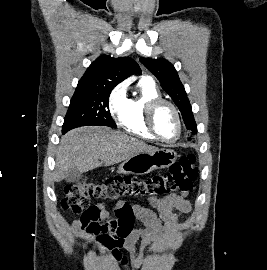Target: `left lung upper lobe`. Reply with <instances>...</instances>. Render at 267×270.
Returning <instances> with one entry per match:
<instances>
[{"instance_id":"left-lung-upper-lobe-1","label":"left lung upper lobe","mask_w":267,"mask_h":270,"mask_svg":"<svg viewBox=\"0 0 267 270\" xmlns=\"http://www.w3.org/2000/svg\"><path fill=\"white\" fill-rule=\"evenodd\" d=\"M140 62L157 77L162 88L173 99L182 114L186 128L192 133H197L190 102L174 66L165 59L140 58Z\"/></svg>"}]
</instances>
